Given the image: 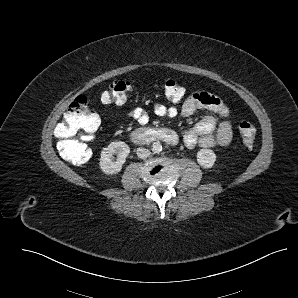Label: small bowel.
<instances>
[{"label":"small bowel","instance_id":"c3829d8e","mask_svg":"<svg viewBox=\"0 0 298 298\" xmlns=\"http://www.w3.org/2000/svg\"><path fill=\"white\" fill-rule=\"evenodd\" d=\"M201 109L208 110L213 115L205 116L194 127L185 130L182 134L184 144L188 148H194L197 145L203 148L229 145L233 135L230 110L213 94L195 92L189 95L180 106L155 103L152 107L156 116L169 118H187ZM127 118L135 121L139 126L147 125L150 121L149 113L141 107L129 111Z\"/></svg>","mask_w":298,"mask_h":298}]
</instances>
